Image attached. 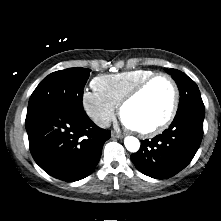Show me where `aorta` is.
Returning <instances> with one entry per match:
<instances>
[{
  "label": "aorta",
  "instance_id": "1",
  "mask_svg": "<svg viewBox=\"0 0 221 221\" xmlns=\"http://www.w3.org/2000/svg\"><path fill=\"white\" fill-rule=\"evenodd\" d=\"M124 145L129 152H137L140 148V142L136 137L127 136L124 139Z\"/></svg>",
  "mask_w": 221,
  "mask_h": 221
}]
</instances>
